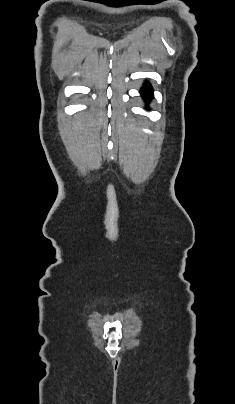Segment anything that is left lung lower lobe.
<instances>
[{
  "instance_id": "0a47b994",
  "label": "left lung lower lobe",
  "mask_w": 235,
  "mask_h": 404,
  "mask_svg": "<svg viewBox=\"0 0 235 404\" xmlns=\"http://www.w3.org/2000/svg\"><path fill=\"white\" fill-rule=\"evenodd\" d=\"M142 96L144 99L150 100L153 96V91L151 87L145 86L144 88H142Z\"/></svg>"
}]
</instances>
